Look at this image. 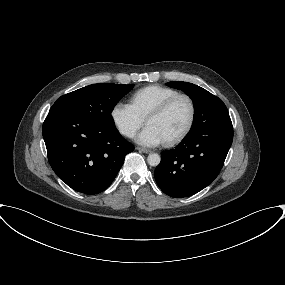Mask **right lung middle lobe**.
<instances>
[{"mask_svg": "<svg viewBox=\"0 0 285 285\" xmlns=\"http://www.w3.org/2000/svg\"><path fill=\"white\" fill-rule=\"evenodd\" d=\"M134 87L133 84H93L58 98L51 108L73 111L102 126L115 127L111 112L118 101Z\"/></svg>", "mask_w": 285, "mask_h": 285, "instance_id": "right-lung-middle-lobe-1", "label": "right lung middle lobe"}]
</instances>
